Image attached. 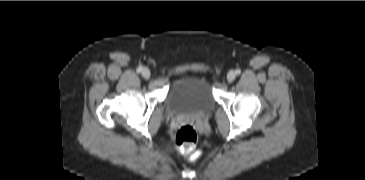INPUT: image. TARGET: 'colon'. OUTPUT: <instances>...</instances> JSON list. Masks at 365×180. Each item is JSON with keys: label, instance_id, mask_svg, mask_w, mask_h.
I'll list each match as a JSON object with an SVG mask.
<instances>
[{"label": "colon", "instance_id": "colon-1", "mask_svg": "<svg viewBox=\"0 0 365 180\" xmlns=\"http://www.w3.org/2000/svg\"><path fill=\"white\" fill-rule=\"evenodd\" d=\"M197 139L195 129L190 124H185L176 131L174 145L178 152L196 160L200 157V152L196 150Z\"/></svg>", "mask_w": 365, "mask_h": 180}]
</instances>
